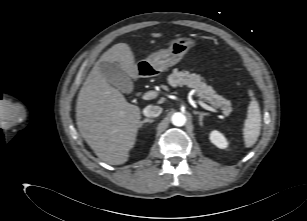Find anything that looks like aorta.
Here are the masks:
<instances>
[{"label":"aorta","instance_id":"1","mask_svg":"<svg viewBox=\"0 0 307 221\" xmlns=\"http://www.w3.org/2000/svg\"><path fill=\"white\" fill-rule=\"evenodd\" d=\"M171 122L175 126H183L186 123V116L183 113L176 112L172 115Z\"/></svg>","mask_w":307,"mask_h":221}]
</instances>
